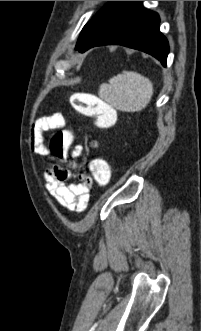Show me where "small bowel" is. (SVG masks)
I'll return each mask as SVG.
<instances>
[{"mask_svg": "<svg viewBox=\"0 0 201 331\" xmlns=\"http://www.w3.org/2000/svg\"><path fill=\"white\" fill-rule=\"evenodd\" d=\"M64 126L65 119L60 113L45 115L37 119L31 130L32 152L39 156L49 157L50 152L44 143L43 134L49 130L62 129ZM72 146L69 158L75 160L82 154L83 146L77 142H72ZM77 167L78 164L75 161L68 167L54 164L43 171V177L47 190L61 206L80 213L86 209L89 202L93 180L89 175L81 173L77 176V182H69L68 180L73 177L71 169Z\"/></svg>", "mask_w": 201, "mask_h": 331, "instance_id": "c3829d8e", "label": "small bowel"}]
</instances>
